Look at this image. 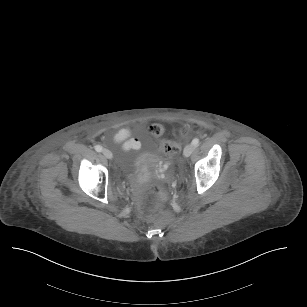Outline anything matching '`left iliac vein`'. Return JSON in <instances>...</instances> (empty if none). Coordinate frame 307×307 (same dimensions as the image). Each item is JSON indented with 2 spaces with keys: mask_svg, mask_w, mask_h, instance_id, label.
<instances>
[{
  "mask_svg": "<svg viewBox=\"0 0 307 307\" xmlns=\"http://www.w3.org/2000/svg\"><path fill=\"white\" fill-rule=\"evenodd\" d=\"M194 150V146L191 145V144H188L185 148H184V151H183V155L185 157H189L191 155V153L193 152Z\"/></svg>",
  "mask_w": 307,
  "mask_h": 307,
  "instance_id": "1",
  "label": "left iliac vein"
}]
</instances>
